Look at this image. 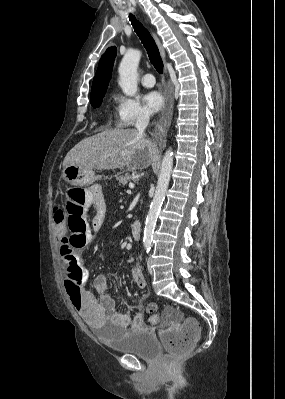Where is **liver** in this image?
<instances>
[{
    "label": "liver",
    "instance_id": "6515ba94",
    "mask_svg": "<svg viewBox=\"0 0 285 399\" xmlns=\"http://www.w3.org/2000/svg\"><path fill=\"white\" fill-rule=\"evenodd\" d=\"M155 145L136 129H108L76 144L65 156L63 166L77 165L93 170L146 168L155 155Z\"/></svg>",
    "mask_w": 285,
    "mask_h": 399
}]
</instances>
